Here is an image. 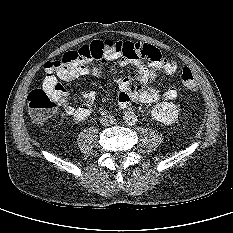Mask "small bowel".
Segmentation results:
<instances>
[{
	"mask_svg": "<svg viewBox=\"0 0 233 233\" xmlns=\"http://www.w3.org/2000/svg\"><path fill=\"white\" fill-rule=\"evenodd\" d=\"M100 42L106 45L103 56L100 58L101 61L98 59H91L87 63L79 61L70 67L61 69L48 67L47 62L44 66L46 77L43 81V88L54 93L67 115L77 120L86 119L92 112L95 93L84 92L82 94L83 104L74 107L67 102V91L59 80L69 82L85 75L105 77L108 74L107 62L114 59L119 60L120 66L131 65L135 70L134 76L113 79L119 90L118 102L121 107H126L133 101L153 103L177 98L178 92L175 87L161 90L155 85L160 73L172 74L177 69L175 61L164 57L156 47L129 41Z\"/></svg>",
	"mask_w": 233,
	"mask_h": 233,
	"instance_id": "small-bowel-1",
	"label": "small bowel"
}]
</instances>
